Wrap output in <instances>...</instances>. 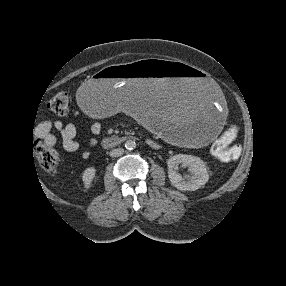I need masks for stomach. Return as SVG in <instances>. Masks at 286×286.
<instances>
[{
    "mask_svg": "<svg viewBox=\"0 0 286 286\" xmlns=\"http://www.w3.org/2000/svg\"><path fill=\"white\" fill-rule=\"evenodd\" d=\"M79 102L94 117L116 119L131 109L180 144L207 140L225 118L224 96L209 77L160 57L105 66L82 86Z\"/></svg>",
    "mask_w": 286,
    "mask_h": 286,
    "instance_id": "stomach-1",
    "label": "stomach"
}]
</instances>
